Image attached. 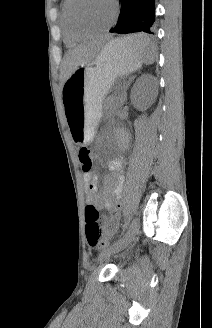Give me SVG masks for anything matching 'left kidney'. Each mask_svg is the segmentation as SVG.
I'll return each mask as SVG.
<instances>
[{"label": "left kidney", "instance_id": "obj_1", "mask_svg": "<svg viewBox=\"0 0 212 328\" xmlns=\"http://www.w3.org/2000/svg\"><path fill=\"white\" fill-rule=\"evenodd\" d=\"M145 82L147 83V94L143 99V103L141 104V100H139L136 96V88L138 86L144 85ZM156 94L157 84L155 79L153 77L144 75L136 81L135 87L132 90L131 101L136 106L144 105V108L146 109L153 103L154 99L156 98Z\"/></svg>", "mask_w": 212, "mask_h": 328}]
</instances>
